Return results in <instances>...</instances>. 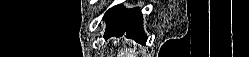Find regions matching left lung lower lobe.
Here are the masks:
<instances>
[{
    "label": "left lung lower lobe",
    "mask_w": 249,
    "mask_h": 57,
    "mask_svg": "<svg viewBox=\"0 0 249 57\" xmlns=\"http://www.w3.org/2000/svg\"><path fill=\"white\" fill-rule=\"evenodd\" d=\"M106 19L107 27L104 37L121 36L145 44L147 37L143 31L142 13L138 8L125 9L122 5L109 9L103 17Z\"/></svg>",
    "instance_id": "obj_1"
}]
</instances>
